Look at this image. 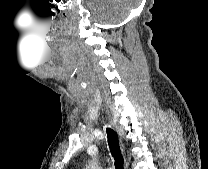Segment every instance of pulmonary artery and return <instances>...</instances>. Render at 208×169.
<instances>
[{"mask_svg": "<svg viewBox=\"0 0 208 169\" xmlns=\"http://www.w3.org/2000/svg\"><path fill=\"white\" fill-rule=\"evenodd\" d=\"M106 169H113L112 167H108V168H106Z\"/></svg>", "mask_w": 208, "mask_h": 169, "instance_id": "pulmonary-artery-1", "label": "pulmonary artery"}]
</instances>
